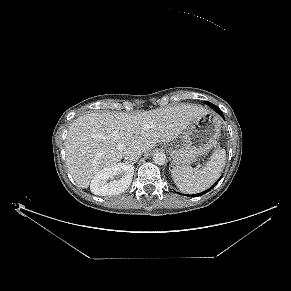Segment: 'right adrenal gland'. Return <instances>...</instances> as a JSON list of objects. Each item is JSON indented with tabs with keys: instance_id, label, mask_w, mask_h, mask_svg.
Listing matches in <instances>:
<instances>
[{
	"instance_id": "right-adrenal-gland-1",
	"label": "right adrenal gland",
	"mask_w": 291,
	"mask_h": 291,
	"mask_svg": "<svg viewBox=\"0 0 291 291\" xmlns=\"http://www.w3.org/2000/svg\"><path fill=\"white\" fill-rule=\"evenodd\" d=\"M137 161V160H136ZM136 161H133L131 164H132V166L134 165V163H136Z\"/></svg>"
}]
</instances>
